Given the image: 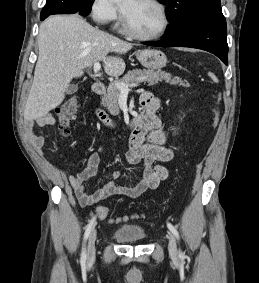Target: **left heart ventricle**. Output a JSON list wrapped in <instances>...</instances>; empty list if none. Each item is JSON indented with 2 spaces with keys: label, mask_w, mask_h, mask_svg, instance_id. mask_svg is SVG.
Wrapping results in <instances>:
<instances>
[{
  "label": "left heart ventricle",
  "mask_w": 259,
  "mask_h": 283,
  "mask_svg": "<svg viewBox=\"0 0 259 283\" xmlns=\"http://www.w3.org/2000/svg\"><path fill=\"white\" fill-rule=\"evenodd\" d=\"M120 7L131 27L140 34H156L164 25L160 9L148 0H122Z\"/></svg>",
  "instance_id": "b2bd125f"
}]
</instances>
